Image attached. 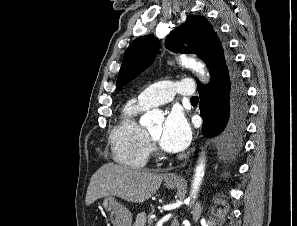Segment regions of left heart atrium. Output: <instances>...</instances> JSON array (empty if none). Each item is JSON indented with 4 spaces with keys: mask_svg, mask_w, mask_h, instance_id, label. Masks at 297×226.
Here are the masks:
<instances>
[{
    "mask_svg": "<svg viewBox=\"0 0 297 226\" xmlns=\"http://www.w3.org/2000/svg\"><path fill=\"white\" fill-rule=\"evenodd\" d=\"M191 131L185 117L179 111H172L166 118L159 144L165 151L179 152L190 142Z\"/></svg>",
    "mask_w": 297,
    "mask_h": 226,
    "instance_id": "obj_1",
    "label": "left heart atrium"
}]
</instances>
